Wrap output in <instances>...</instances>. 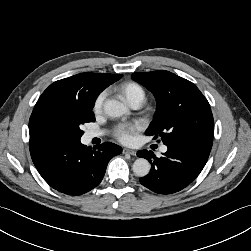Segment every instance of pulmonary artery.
Listing matches in <instances>:
<instances>
[{
	"instance_id": "pulmonary-artery-1",
	"label": "pulmonary artery",
	"mask_w": 251,
	"mask_h": 251,
	"mask_svg": "<svg viewBox=\"0 0 251 251\" xmlns=\"http://www.w3.org/2000/svg\"><path fill=\"white\" fill-rule=\"evenodd\" d=\"M132 106H133V108H139L141 106V103L137 102V103L132 104ZM100 135H101L100 132L89 131V132H87L85 134V137H86L87 140H91V139H93L95 137H98ZM161 151L162 152H166L167 151V147L166 146H162L161 147Z\"/></svg>"
}]
</instances>
